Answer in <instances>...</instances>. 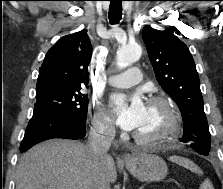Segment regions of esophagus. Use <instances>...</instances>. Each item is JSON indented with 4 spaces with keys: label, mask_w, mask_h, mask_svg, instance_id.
<instances>
[{
    "label": "esophagus",
    "mask_w": 223,
    "mask_h": 189,
    "mask_svg": "<svg viewBox=\"0 0 223 189\" xmlns=\"http://www.w3.org/2000/svg\"><path fill=\"white\" fill-rule=\"evenodd\" d=\"M123 159H124L125 161H128V160L130 159V156L127 155V154H125V155H123Z\"/></svg>",
    "instance_id": "obj_1"
}]
</instances>
